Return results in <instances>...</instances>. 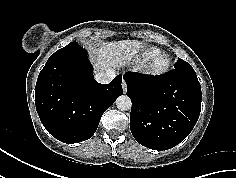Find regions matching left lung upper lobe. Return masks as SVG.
I'll use <instances>...</instances> for the list:
<instances>
[{
	"mask_svg": "<svg viewBox=\"0 0 236 178\" xmlns=\"http://www.w3.org/2000/svg\"><path fill=\"white\" fill-rule=\"evenodd\" d=\"M175 69H193L192 66L182 59H178V61L174 65Z\"/></svg>",
	"mask_w": 236,
	"mask_h": 178,
	"instance_id": "5c2ea615",
	"label": "left lung upper lobe"
}]
</instances>
